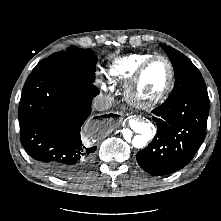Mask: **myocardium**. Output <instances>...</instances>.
<instances>
[{"instance_id":"myocardium-1","label":"myocardium","mask_w":221,"mask_h":221,"mask_svg":"<svg viewBox=\"0 0 221 221\" xmlns=\"http://www.w3.org/2000/svg\"><path fill=\"white\" fill-rule=\"evenodd\" d=\"M156 60H163L167 64L169 70V78L166 86L159 94L154 97L144 99L137 94L136 88L146 69ZM174 81L175 71L171 60L163 55H153L139 65L133 75L125 83L123 91L126 100L132 106L137 108H151L158 105L167 98V96L173 89Z\"/></svg>"}]
</instances>
